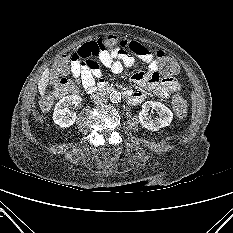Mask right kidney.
I'll return each mask as SVG.
<instances>
[{
	"label": "right kidney",
	"mask_w": 233,
	"mask_h": 233,
	"mask_svg": "<svg viewBox=\"0 0 233 233\" xmlns=\"http://www.w3.org/2000/svg\"><path fill=\"white\" fill-rule=\"evenodd\" d=\"M81 97L78 95H69L63 97L55 106L53 121L60 127H70L76 121V113L71 112L69 106L72 104L78 106L81 104Z\"/></svg>",
	"instance_id": "right-kidney-1"
}]
</instances>
